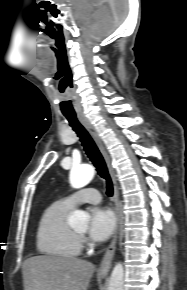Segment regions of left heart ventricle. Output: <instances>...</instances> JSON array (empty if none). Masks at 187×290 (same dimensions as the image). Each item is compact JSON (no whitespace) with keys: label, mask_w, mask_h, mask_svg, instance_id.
<instances>
[{"label":"left heart ventricle","mask_w":187,"mask_h":290,"mask_svg":"<svg viewBox=\"0 0 187 290\" xmlns=\"http://www.w3.org/2000/svg\"><path fill=\"white\" fill-rule=\"evenodd\" d=\"M76 232L79 233V234H82L84 231L83 230H77Z\"/></svg>","instance_id":"obj_1"}]
</instances>
